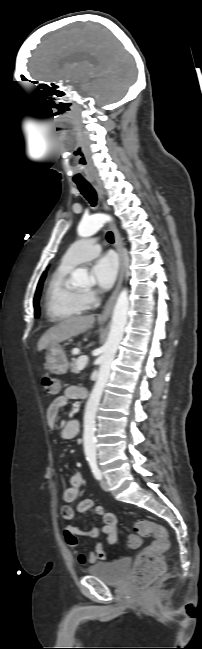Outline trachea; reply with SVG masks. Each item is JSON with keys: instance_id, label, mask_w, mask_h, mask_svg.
<instances>
[{"instance_id": "trachea-1", "label": "trachea", "mask_w": 202, "mask_h": 649, "mask_svg": "<svg viewBox=\"0 0 202 649\" xmlns=\"http://www.w3.org/2000/svg\"><path fill=\"white\" fill-rule=\"evenodd\" d=\"M78 189L81 194L95 207L97 204V194L93 187L88 182L77 183ZM106 239L109 243H114V236L112 232H108Z\"/></svg>"}]
</instances>
